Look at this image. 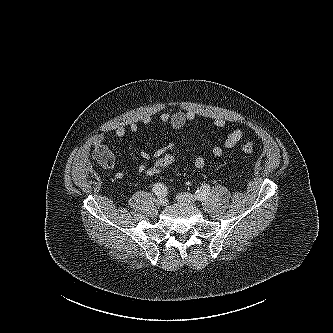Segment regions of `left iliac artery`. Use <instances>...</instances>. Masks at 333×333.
<instances>
[{
    "instance_id": "44dca946",
    "label": "left iliac artery",
    "mask_w": 333,
    "mask_h": 333,
    "mask_svg": "<svg viewBox=\"0 0 333 333\" xmlns=\"http://www.w3.org/2000/svg\"><path fill=\"white\" fill-rule=\"evenodd\" d=\"M196 194L198 198L204 199L206 196L210 194V185L206 184L201 186L200 189L196 191Z\"/></svg>"
}]
</instances>
